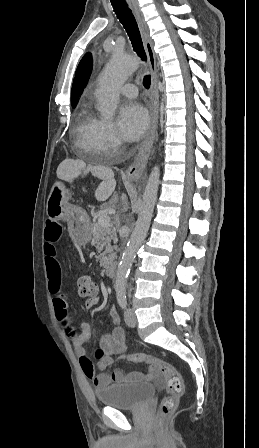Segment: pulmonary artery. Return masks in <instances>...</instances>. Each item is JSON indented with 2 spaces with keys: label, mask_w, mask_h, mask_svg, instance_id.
<instances>
[{
  "label": "pulmonary artery",
  "mask_w": 259,
  "mask_h": 448,
  "mask_svg": "<svg viewBox=\"0 0 259 448\" xmlns=\"http://www.w3.org/2000/svg\"><path fill=\"white\" fill-rule=\"evenodd\" d=\"M115 66L122 77L123 80H125L129 75H131L138 64V58L135 54H122L120 57H118L115 60ZM118 92L126 95L128 97H136L137 96V90L133 84H126V85H120L118 86Z\"/></svg>",
  "instance_id": "1"
}]
</instances>
